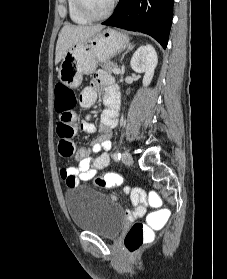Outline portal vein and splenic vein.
Wrapping results in <instances>:
<instances>
[{
    "label": "portal vein and splenic vein",
    "mask_w": 227,
    "mask_h": 279,
    "mask_svg": "<svg viewBox=\"0 0 227 279\" xmlns=\"http://www.w3.org/2000/svg\"><path fill=\"white\" fill-rule=\"evenodd\" d=\"M113 72H114V74H119L121 71H120V69L117 67V68H114Z\"/></svg>",
    "instance_id": "18ae733b"
}]
</instances>
